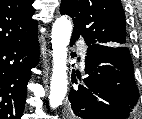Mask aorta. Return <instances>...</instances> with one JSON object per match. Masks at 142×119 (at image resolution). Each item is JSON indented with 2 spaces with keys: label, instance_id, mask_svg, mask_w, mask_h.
<instances>
[{
  "label": "aorta",
  "instance_id": "aorta-1",
  "mask_svg": "<svg viewBox=\"0 0 142 119\" xmlns=\"http://www.w3.org/2000/svg\"><path fill=\"white\" fill-rule=\"evenodd\" d=\"M71 34V21L65 16L57 18L53 23L51 35L53 73L50 83L49 105L53 109L62 104L67 92V46Z\"/></svg>",
  "mask_w": 142,
  "mask_h": 119
}]
</instances>
